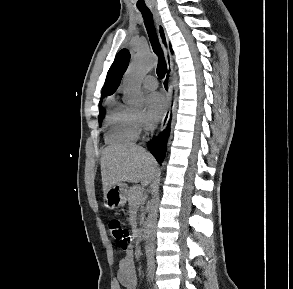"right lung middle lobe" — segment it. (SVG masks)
<instances>
[{
  "label": "right lung middle lobe",
  "instance_id": "obj_1",
  "mask_svg": "<svg viewBox=\"0 0 293 289\" xmlns=\"http://www.w3.org/2000/svg\"><path fill=\"white\" fill-rule=\"evenodd\" d=\"M104 115H105V112L104 111H102V112L99 113V124L100 125H101V122H102V120L104 118Z\"/></svg>",
  "mask_w": 293,
  "mask_h": 289
}]
</instances>
